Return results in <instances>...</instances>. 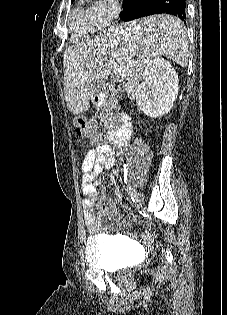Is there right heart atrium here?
Here are the masks:
<instances>
[{
	"mask_svg": "<svg viewBox=\"0 0 227 315\" xmlns=\"http://www.w3.org/2000/svg\"><path fill=\"white\" fill-rule=\"evenodd\" d=\"M90 10L97 28L104 29L118 17L121 5L119 0H96L92 3Z\"/></svg>",
	"mask_w": 227,
	"mask_h": 315,
	"instance_id": "right-heart-atrium-1",
	"label": "right heart atrium"
}]
</instances>
